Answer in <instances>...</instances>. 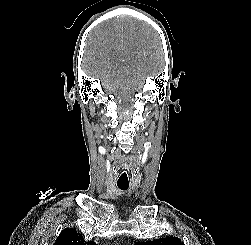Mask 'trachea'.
I'll list each match as a JSON object with an SVG mask.
<instances>
[{"instance_id":"3493384b","label":"trachea","mask_w":251,"mask_h":245,"mask_svg":"<svg viewBox=\"0 0 251 245\" xmlns=\"http://www.w3.org/2000/svg\"><path fill=\"white\" fill-rule=\"evenodd\" d=\"M117 186L121 190H127L128 187H129V183H121V182H119V183H117Z\"/></svg>"}]
</instances>
